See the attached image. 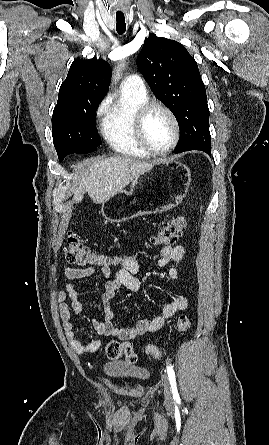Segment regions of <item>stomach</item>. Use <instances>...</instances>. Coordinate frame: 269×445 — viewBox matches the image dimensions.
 <instances>
[{"label":"stomach","mask_w":269,"mask_h":445,"mask_svg":"<svg viewBox=\"0 0 269 445\" xmlns=\"http://www.w3.org/2000/svg\"><path fill=\"white\" fill-rule=\"evenodd\" d=\"M188 175L172 160L155 162L132 181L129 192L123 191L103 202L101 212L107 220L120 223L170 210L185 197Z\"/></svg>","instance_id":"obj_1"}]
</instances>
